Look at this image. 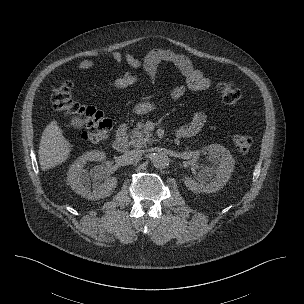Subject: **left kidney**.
<instances>
[{
	"label": "left kidney",
	"mask_w": 304,
	"mask_h": 304,
	"mask_svg": "<svg viewBox=\"0 0 304 304\" xmlns=\"http://www.w3.org/2000/svg\"><path fill=\"white\" fill-rule=\"evenodd\" d=\"M209 160L217 164L215 176L212 177L213 170L208 167H202L197 172L198 181L192 178H185L186 187L194 192L213 193L221 188L229 181L231 173L234 170L235 160L229 150L220 144H210L207 147ZM213 178V179H212ZM212 179V180H211ZM210 183H206V181Z\"/></svg>",
	"instance_id": "1"
}]
</instances>
